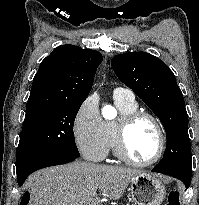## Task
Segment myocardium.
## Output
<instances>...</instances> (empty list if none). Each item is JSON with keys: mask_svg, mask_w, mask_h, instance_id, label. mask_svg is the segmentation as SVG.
<instances>
[{"mask_svg": "<svg viewBox=\"0 0 199 205\" xmlns=\"http://www.w3.org/2000/svg\"><path fill=\"white\" fill-rule=\"evenodd\" d=\"M140 119L150 120L157 129L159 136L158 150L153 158L148 161L140 162L133 159L126 149V135L129 128ZM114 146L117 157L126 164L135 167H148L158 162L166 149L165 130L160 120L153 114L145 111L136 110L134 112L121 115L114 127Z\"/></svg>", "mask_w": 199, "mask_h": 205, "instance_id": "1", "label": "myocardium"}]
</instances>
